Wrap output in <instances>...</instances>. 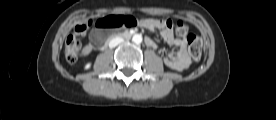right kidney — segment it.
<instances>
[{"label": "right kidney", "mask_w": 276, "mask_h": 120, "mask_svg": "<svg viewBox=\"0 0 276 120\" xmlns=\"http://www.w3.org/2000/svg\"><path fill=\"white\" fill-rule=\"evenodd\" d=\"M90 67V63H88L87 65H86V68H89Z\"/></svg>", "instance_id": "ca27d5eb"}]
</instances>
